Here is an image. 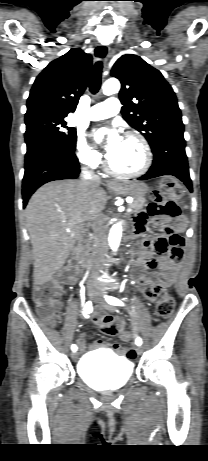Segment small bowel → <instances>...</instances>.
<instances>
[{"mask_svg":"<svg viewBox=\"0 0 208 461\" xmlns=\"http://www.w3.org/2000/svg\"><path fill=\"white\" fill-rule=\"evenodd\" d=\"M149 209H138L137 214H130L129 220L134 223V233L136 236L143 235L149 223ZM152 223L155 224L154 234L148 237H142V244L133 252V262L135 265V275L140 286H143L142 294L148 301H154L157 296L169 287L176 275L177 266H182L183 256L188 255V248H185L187 240L186 234H178L183 225H161L164 222L161 219L154 218ZM168 250L169 254L161 262L160 272L146 271L147 268H153L157 265L154 255L163 254ZM70 263H63L62 269L69 271L64 279L73 282L78 277V256H70ZM94 321L100 330L110 336L118 335L121 340L128 342L133 339V335L125 331V321L121 317H114L102 312L94 314ZM81 351L95 350L101 348H111L114 354L122 351L120 346L95 340L90 344L85 341L84 335H80L77 340Z\"/></svg>","mask_w":208,"mask_h":461,"instance_id":"c3829d8e","label":"small bowel"}]
</instances>
